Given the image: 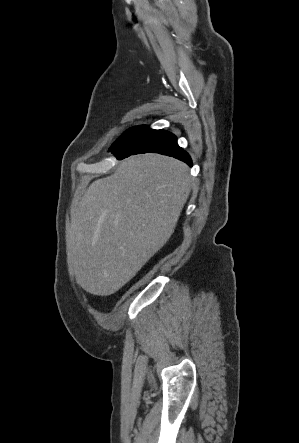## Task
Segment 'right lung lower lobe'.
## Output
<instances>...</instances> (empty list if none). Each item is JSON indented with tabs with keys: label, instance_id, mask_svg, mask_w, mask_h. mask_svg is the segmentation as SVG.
I'll list each match as a JSON object with an SVG mask.
<instances>
[{
	"label": "right lung lower lobe",
	"instance_id": "obj_1",
	"mask_svg": "<svg viewBox=\"0 0 299 443\" xmlns=\"http://www.w3.org/2000/svg\"><path fill=\"white\" fill-rule=\"evenodd\" d=\"M118 159L140 153H159L175 157L192 166L187 152L177 144L176 137L164 130H153L148 126H137L125 131L110 147Z\"/></svg>",
	"mask_w": 299,
	"mask_h": 443
}]
</instances>
